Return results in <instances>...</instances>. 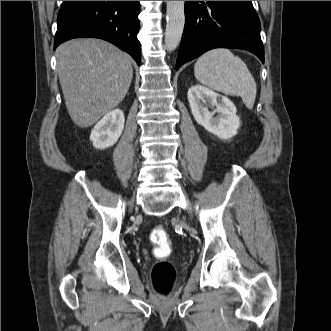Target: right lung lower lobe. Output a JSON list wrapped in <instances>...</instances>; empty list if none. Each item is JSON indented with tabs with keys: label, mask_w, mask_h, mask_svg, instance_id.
<instances>
[{
	"label": "right lung lower lobe",
	"mask_w": 331,
	"mask_h": 331,
	"mask_svg": "<svg viewBox=\"0 0 331 331\" xmlns=\"http://www.w3.org/2000/svg\"><path fill=\"white\" fill-rule=\"evenodd\" d=\"M139 1H63L54 45L77 37L107 40L141 62Z\"/></svg>",
	"instance_id": "right-lung-lower-lobe-1"
}]
</instances>
